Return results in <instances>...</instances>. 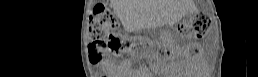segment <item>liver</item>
<instances>
[{
    "instance_id": "liver-1",
    "label": "liver",
    "mask_w": 258,
    "mask_h": 77,
    "mask_svg": "<svg viewBox=\"0 0 258 77\" xmlns=\"http://www.w3.org/2000/svg\"><path fill=\"white\" fill-rule=\"evenodd\" d=\"M111 3L118 16L122 17L123 14H127L128 18L122 19L126 28L134 23L155 24L162 17L161 12L153 6L151 0H112Z\"/></svg>"
}]
</instances>
